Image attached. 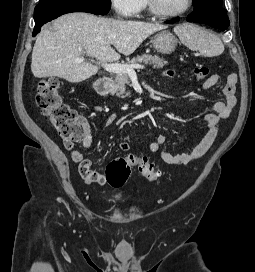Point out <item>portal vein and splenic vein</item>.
<instances>
[{
  "label": "portal vein and splenic vein",
  "instance_id": "portal-vein-and-splenic-vein-1",
  "mask_svg": "<svg viewBox=\"0 0 255 272\" xmlns=\"http://www.w3.org/2000/svg\"><path fill=\"white\" fill-rule=\"evenodd\" d=\"M84 58L80 57L76 59V62H83ZM92 62H94L92 60ZM103 67L106 71L111 73H127L128 75H135V69H144L143 65L135 64V65H128V64H120V63H105Z\"/></svg>",
  "mask_w": 255,
  "mask_h": 272
}]
</instances>
